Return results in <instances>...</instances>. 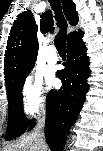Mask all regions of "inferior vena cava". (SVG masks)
<instances>
[{"mask_svg":"<svg viewBox=\"0 0 103 151\" xmlns=\"http://www.w3.org/2000/svg\"><path fill=\"white\" fill-rule=\"evenodd\" d=\"M44 115H45L44 112H42L41 114H39V117H38L37 130L35 132H37L39 134H42V129L44 127V122H45V116Z\"/></svg>","mask_w":103,"mask_h":151,"instance_id":"1","label":"inferior vena cava"}]
</instances>
